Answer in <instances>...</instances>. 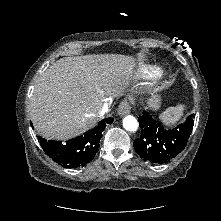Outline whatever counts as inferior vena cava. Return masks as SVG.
<instances>
[{
    "mask_svg": "<svg viewBox=\"0 0 221 221\" xmlns=\"http://www.w3.org/2000/svg\"><path fill=\"white\" fill-rule=\"evenodd\" d=\"M107 111H108V103H104L99 109L96 110L95 113L98 117H102L105 113H107Z\"/></svg>",
    "mask_w": 221,
    "mask_h": 221,
    "instance_id": "602c4592",
    "label": "inferior vena cava"
}]
</instances>
